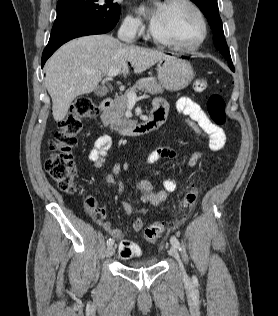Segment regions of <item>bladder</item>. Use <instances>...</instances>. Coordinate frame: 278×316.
I'll return each instance as SVG.
<instances>
[{"instance_id": "1", "label": "bladder", "mask_w": 278, "mask_h": 316, "mask_svg": "<svg viewBox=\"0 0 278 316\" xmlns=\"http://www.w3.org/2000/svg\"><path fill=\"white\" fill-rule=\"evenodd\" d=\"M158 261L155 258H149V259H143V260H137L132 261L127 264L128 267L132 269H148L155 267L157 265Z\"/></svg>"}]
</instances>
